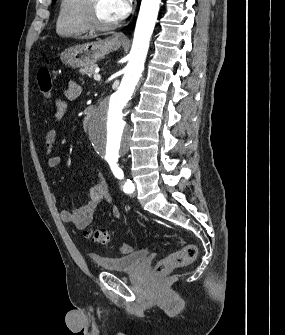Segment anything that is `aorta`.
<instances>
[{
	"instance_id": "aorta-1",
	"label": "aorta",
	"mask_w": 285,
	"mask_h": 335,
	"mask_svg": "<svg viewBox=\"0 0 285 335\" xmlns=\"http://www.w3.org/2000/svg\"><path fill=\"white\" fill-rule=\"evenodd\" d=\"M160 4L161 0H142L121 84L118 90H111V95H106V100H100L89 127H86V134L92 137L91 147H98L96 155L101 156V160H120V156L129 152L133 130H130V125H125L122 112H125L127 102H133L134 90L144 70Z\"/></svg>"
}]
</instances>
